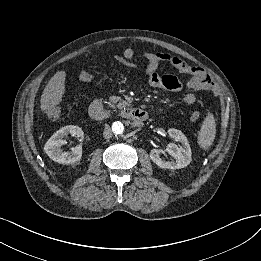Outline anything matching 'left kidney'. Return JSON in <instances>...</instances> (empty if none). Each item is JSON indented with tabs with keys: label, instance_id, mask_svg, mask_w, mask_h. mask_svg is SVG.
Listing matches in <instances>:
<instances>
[{
	"label": "left kidney",
	"instance_id": "5707ae66",
	"mask_svg": "<svg viewBox=\"0 0 261 261\" xmlns=\"http://www.w3.org/2000/svg\"><path fill=\"white\" fill-rule=\"evenodd\" d=\"M168 134L176 142L181 143L177 145L175 143H169L166 148V152L174 158V161H166L161 158L160 154L165 151L159 149H153L150 152L151 160L162 169H181L186 167L191 162V148L186 136L178 129H168Z\"/></svg>",
	"mask_w": 261,
	"mask_h": 261
}]
</instances>
